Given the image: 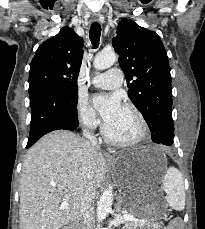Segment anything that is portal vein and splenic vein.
<instances>
[{
	"mask_svg": "<svg viewBox=\"0 0 205 229\" xmlns=\"http://www.w3.org/2000/svg\"><path fill=\"white\" fill-rule=\"evenodd\" d=\"M65 198H69V196H65ZM126 218H128L129 220H133L134 217L133 216H130V215H125Z\"/></svg>",
	"mask_w": 205,
	"mask_h": 229,
	"instance_id": "18ae733b",
	"label": "portal vein and splenic vein"
}]
</instances>
